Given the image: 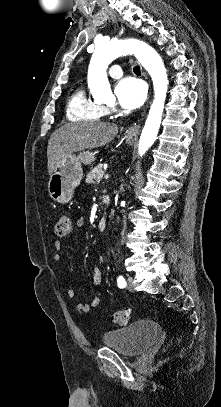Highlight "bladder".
I'll return each mask as SVG.
<instances>
[{"label": "bladder", "instance_id": "obj_1", "mask_svg": "<svg viewBox=\"0 0 221 407\" xmlns=\"http://www.w3.org/2000/svg\"><path fill=\"white\" fill-rule=\"evenodd\" d=\"M161 332L155 319H142L124 328L109 330L102 336L106 346L125 356H137L147 350Z\"/></svg>", "mask_w": 221, "mask_h": 407}]
</instances>
